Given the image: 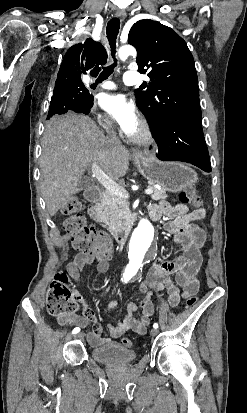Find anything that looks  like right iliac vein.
Listing matches in <instances>:
<instances>
[{
  "label": "right iliac vein",
  "mask_w": 247,
  "mask_h": 413,
  "mask_svg": "<svg viewBox=\"0 0 247 413\" xmlns=\"http://www.w3.org/2000/svg\"><path fill=\"white\" fill-rule=\"evenodd\" d=\"M77 339H82L84 337L83 333H79L75 336Z\"/></svg>",
  "instance_id": "obj_1"
}]
</instances>
